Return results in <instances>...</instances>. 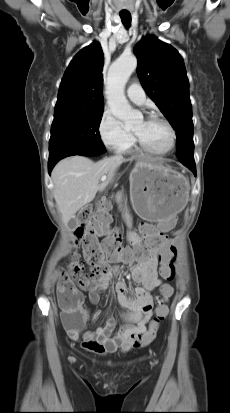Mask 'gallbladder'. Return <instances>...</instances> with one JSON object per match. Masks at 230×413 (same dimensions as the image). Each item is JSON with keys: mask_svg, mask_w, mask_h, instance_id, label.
<instances>
[{"mask_svg": "<svg viewBox=\"0 0 230 413\" xmlns=\"http://www.w3.org/2000/svg\"><path fill=\"white\" fill-rule=\"evenodd\" d=\"M78 223L75 220H72L69 222V227L72 229H75L77 227Z\"/></svg>", "mask_w": 230, "mask_h": 413, "instance_id": "gallbladder-1", "label": "gallbladder"}]
</instances>
